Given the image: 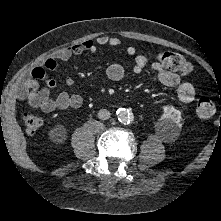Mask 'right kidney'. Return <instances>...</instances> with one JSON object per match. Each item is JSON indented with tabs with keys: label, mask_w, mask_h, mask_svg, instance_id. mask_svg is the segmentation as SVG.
<instances>
[{
	"label": "right kidney",
	"mask_w": 221,
	"mask_h": 221,
	"mask_svg": "<svg viewBox=\"0 0 221 221\" xmlns=\"http://www.w3.org/2000/svg\"><path fill=\"white\" fill-rule=\"evenodd\" d=\"M64 132V129L62 126H57L56 128H54L51 133L55 134V135H61Z\"/></svg>",
	"instance_id": "ca27d5eb"
}]
</instances>
